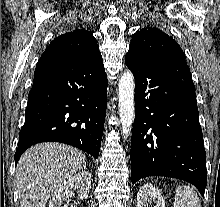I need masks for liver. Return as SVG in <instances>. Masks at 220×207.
<instances>
[{"instance_id": "1", "label": "liver", "mask_w": 220, "mask_h": 207, "mask_svg": "<svg viewBox=\"0 0 220 207\" xmlns=\"http://www.w3.org/2000/svg\"><path fill=\"white\" fill-rule=\"evenodd\" d=\"M85 166V155L71 146L47 142L30 147L16 167L20 206L46 207L52 192Z\"/></svg>"}]
</instances>
